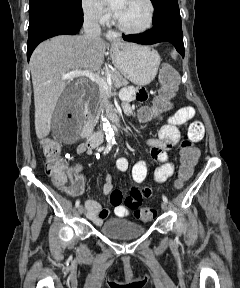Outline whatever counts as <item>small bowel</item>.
<instances>
[{"label": "small bowel", "instance_id": "c3829d8e", "mask_svg": "<svg viewBox=\"0 0 240 288\" xmlns=\"http://www.w3.org/2000/svg\"><path fill=\"white\" fill-rule=\"evenodd\" d=\"M122 108L128 115H132L131 104L134 101L143 102L148 99V91L143 87H124L120 92ZM195 109L193 107H182L170 115L167 119H162L161 125L157 131L156 138L147 139L145 142L150 147L151 157L160 163L154 172V180L157 183L165 182L174 173V164L168 160L167 152L176 146L181 138L179 127L189 123L188 138L192 142H198L203 138L204 126L198 120H193ZM93 148L87 143H81L77 146L78 154L91 155ZM129 168V162L126 158L121 157L116 161V169L119 172H125ZM82 165L75 163L69 169V172L76 184V189L69 192L73 196H77L83 192L84 177L80 174ZM147 165L144 161H138L132 168V179L135 184H141L147 176ZM103 193L110 195V202L114 206V213L119 218L127 217L130 210L123 204V193L114 189L112 177L108 174L103 183ZM137 191L141 198H149L152 195V188L148 185L142 186L140 189L133 188ZM86 215L96 225H101L110 213L109 207H102L94 200H86Z\"/></svg>", "mask_w": 240, "mask_h": 288}]
</instances>
